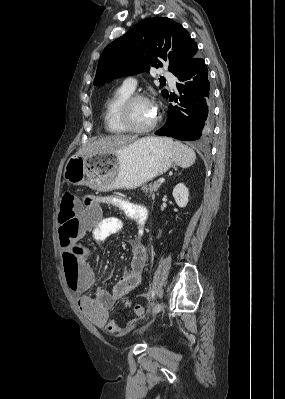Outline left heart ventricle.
Masks as SVG:
<instances>
[{
	"label": "left heart ventricle",
	"mask_w": 285,
	"mask_h": 399,
	"mask_svg": "<svg viewBox=\"0 0 285 399\" xmlns=\"http://www.w3.org/2000/svg\"><path fill=\"white\" fill-rule=\"evenodd\" d=\"M130 117L133 126L146 127L154 121L156 109L149 101L138 100L131 107Z\"/></svg>",
	"instance_id": "obj_1"
}]
</instances>
